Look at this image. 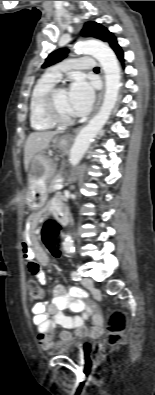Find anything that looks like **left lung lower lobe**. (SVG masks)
Masks as SVG:
<instances>
[{
    "instance_id": "left-lung-lower-lobe-1",
    "label": "left lung lower lobe",
    "mask_w": 155,
    "mask_h": 395,
    "mask_svg": "<svg viewBox=\"0 0 155 395\" xmlns=\"http://www.w3.org/2000/svg\"><path fill=\"white\" fill-rule=\"evenodd\" d=\"M116 54H117L118 58L120 59V61L123 62V52H122V50L117 51Z\"/></svg>"
}]
</instances>
